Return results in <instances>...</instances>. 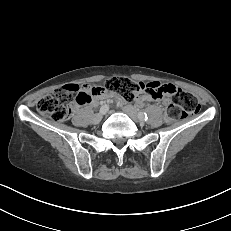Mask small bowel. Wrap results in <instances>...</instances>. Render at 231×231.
I'll list each match as a JSON object with an SVG mask.
<instances>
[{
	"mask_svg": "<svg viewBox=\"0 0 231 231\" xmlns=\"http://www.w3.org/2000/svg\"><path fill=\"white\" fill-rule=\"evenodd\" d=\"M153 82L147 83L151 84ZM175 89L172 84H161L159 90L146 88L136 99L135 103L139 106L143 105L147 101H159L164 104L168 103L170 97ZM82 91L90 96L89 100L84 103L87 105H97L99 100H109L113 98V95L102 90H95V87L84 85ZM96 91V92H95ZM94 93V94H92ZM80 103H77V105Z\"/></svg>",
	"mask_w": 231,
	"mask_h": 231,
	"instance_id": "small-bowel-1",
	"label": "small bowel"
}]
</instances>
